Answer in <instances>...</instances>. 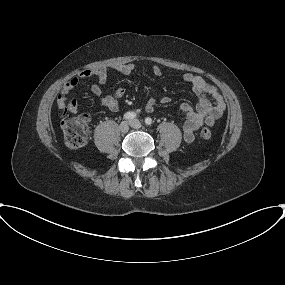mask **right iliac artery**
Listing matches in <instances>:
<instances>
[{"instance_id":"right-iliac-artery-1","label":"right iliac artery","mask_w":285,"mask_h":285,"mask_svg":"<svg viewBox=\"0 0 285 285\" xmlns=\"http://www.w3.org/2000/svg\"><path fill=\"white\" fill-rule=\"evenodd\" d=\"M135 117H136V114L134 112H127L123 116V118L127 120L134 119Z\"/></svg>"}]
</instances>
